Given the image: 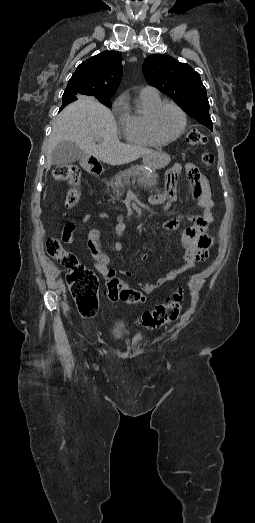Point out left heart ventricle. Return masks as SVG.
I'll return each mask as SVG.
<instances>
[{
  "label": "left heart ventricle",
  "mask_w": 255,
  "mask_h": 523,
  "mask_svg": "<svg viewBox=\"0 0 255 523\" xmlns=\"http://www.w3.org/2000/svg\"><path fill=\"white\" fill-rule=\"evenodd\" d=\"M182 125V119L179 112L171 107H163L154 119V128L161 138H171L175 136Z\"/></svg>",
  "instance_id": "1"
}]
</instances>
